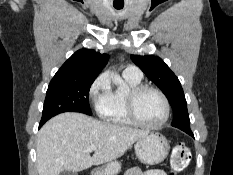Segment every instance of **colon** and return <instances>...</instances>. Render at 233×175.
Here are the masks:
<instances>
[{"label":"colon","instance_id":"5ec220e1","mask_svg":"<svg viewBox=\"0 0 233 175\" xmlns=\"http://www.w3.org/2000/svg\"><path fill=\"white\" fill-rule=\"evenodd\" d=\"M191 160L190 148L183 143L174 145L170 156V171L171 175H178L189 164Z\"/></svg>","mask_w":233,"mask_h":175}]
</instances>
